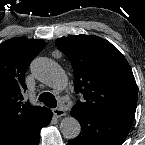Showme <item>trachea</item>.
Masks as SVG:
<instances>
[{"label": "trachea", "instance_id": "1", "mask_svg": "<svg viewBox=\"0 0 145 145\" xmlns=\"http://www.w3.org/2000/svg\"><path fill=\"white\" fill-rule=\"evenodd\" d=\"M39 100L42 101L47 107L55 108L57 101L55 96L49 92H44L39 96Z\"/></svg>", "mask_w": 145, "mask_h": 145}]
</instances>
